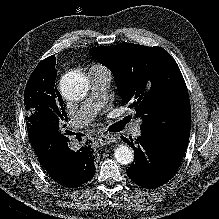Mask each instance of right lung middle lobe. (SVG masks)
Masks as SVG:
<instances>
[{"label": "right lung middle lobe", "mask_w": 219, "mask_h": 219, "mask_svg": "<svg viewBox=\"0 0 219 219\" xmlns=\"http://www.w3.org/2000/svg\"><path fill=\"white\" fill-rule=\"evenodd\" d=\"M55 63L53 60L40 62L32 72L24 92L27 111V128L52 125L61 132L68 117L63 109V100L55 88Z\"/></svg>", "instance_id": "right-lung-middle-lobe-1"}]
</instances>
